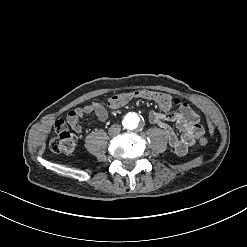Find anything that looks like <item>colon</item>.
Instances as JSON below:
<instances>
[{"label": "colon", "instance_id": "1", "mask_svg": "<svg viewBox=\"0 0 247 247\" xmlns=\"http://www.w3.org/2000/svg\"><path fill=\"white\" fill-rule=\"evenodd\" d=\"M135 96H146L147 101H158L159 109L170 107L169 93L160 92L158 88H142L136 92H114L113 99L109 101L110 109H122L128 101H134ZM202 147H207L209 142L206 138H199ZM77 141L70 132L69 123L59 120L54 124L53 136L49 141V148L53 153L70 154L74 151Z\"/></svg>", "mask_w": 247, "mask_h": 247}]
</instances>
